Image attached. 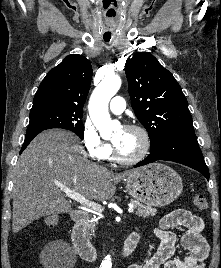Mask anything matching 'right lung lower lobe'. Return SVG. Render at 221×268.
<instances>
[{"label": "right lung lower lobe", "instance_id": "right-lung-lower-lobe-1", "mask_svg": "<svg viewBox=\"0 0 221 268\" xmlns=\"http://www.w3.org/2000/svg\"><path fill=\"white\" fill-rule=\"evenodd\" d=\"M40 132H37V133H30V134H26L25 135V141H24V144L20 150V154L23 152V150L27 147V145L31 142V140L36 136L38 135Z\"/></svg>", "mask_w": 221, "mask_h": 268}]
</instances>
